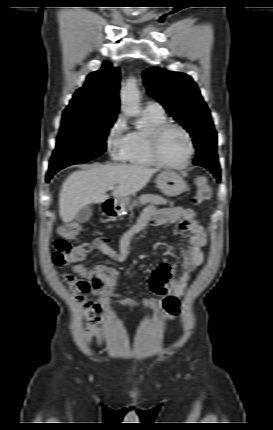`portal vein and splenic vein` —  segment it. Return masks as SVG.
Here are the masks:
<instances>
[{"label":"portal vein and splenic vein","mask_w":273,"mask_h":430,"mask_svg":"<svg viewBox=\"0 0 273 430\" xmlns=\"http://www.w3.org/2000/svg\"><path fill=\"white\" fill-rule=\"evenodd\" d=\"M109 189L113 190V189H114V186H111Z\"/></svg>","instance_id":"1"}]
</instances>
